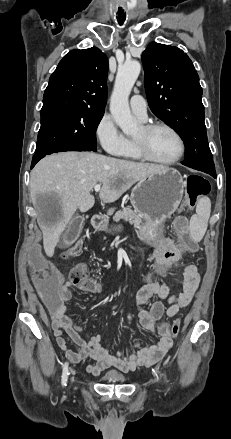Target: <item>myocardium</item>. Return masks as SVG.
Listing matches in <instances>:
<instances>
[{
    "instance_id": "f54148a6",
    "label": "myocardium",
    "mask_w": 231,
    "mask_h": 439,
    "mask_svg": "<svg viewBox=\"0 0 231 439\" xmlns=\"http://www.w3.org/2000/svg\"><path fill=\"white\" fill-rule=\"evenodd\" d=\"M156 129H165V130L169 131L176 138V140L178 142V146H179L177 155L169 160L156 159L149 153V151L146 148V145L144 144V142L142 140L133 139V144L135 146L137 153L139 154V156L142 159H144L148 162L155 163V164L172 165V164L177 163L183 157V155L185 153V142H184L182 136L174 127H172L171 125L164 123V122L149 123V124H146L142 127L143 132L146 134L150 133Z\"/></svg>"
}]
</instances>
